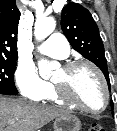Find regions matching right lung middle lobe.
<instances>
[{
	"label": "right lung middle lobe",
	"instance_id": "1",
	"mask_svg": "<svg viewBox=\"0 0 117 131\" xmlns=\"http://www.w3.org/2000/svg\"><path fill=\"white\" fill-rule=\"evenodd\" d=\"M17 59V56L0 55V94H18L14 84V72Z\"/></svg>",
	"mask_w": 117,
	"mask_h": 131
}]
</instances>
